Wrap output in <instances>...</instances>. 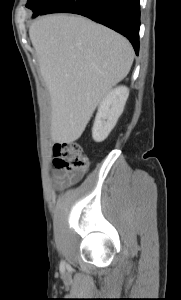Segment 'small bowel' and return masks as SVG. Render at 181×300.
<instances>
[{
    "instance_id": "c3829d8e",
    "label": "small bowel",
    "mask_w": 181,
    "mask_h": 300,
    "mask_svg": "<svg viewBox=\"0 0 181 300\" xmlns=\"http://www.w3.org/2000/svg\"><path fill=\"white\" fill-rule=\"evenodd\" d=\"M77 178L78 177H74L69 172L62 169H57L54 173L55 183L60 187L71 185Z\"/></svg>"
}]
</instances>
